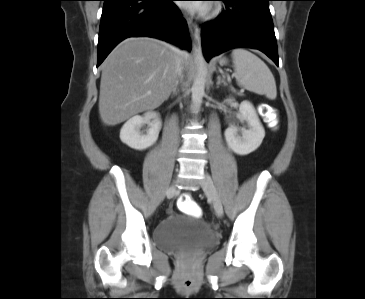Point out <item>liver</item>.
Listing matches in <instances>:
<instances>
[{
	"instance_id": "6515ba94",
	"label": "liver",
	"mask_w": 365,
	"mask_h": 299,
	"mask_svg": "<svg viewBox=\"0 0 365 299\" xmlns=\"http://www.w3.org/2000/svg\"><path fill=\"white\" fill-rule=\"evenodd\" d=\"M188 58V54L180 55L175 47L157 39L138 37L121 42L101 66L102 122L115 126L159 107L175 84L177 61Z\"/></svg>"
}]
</instances>
